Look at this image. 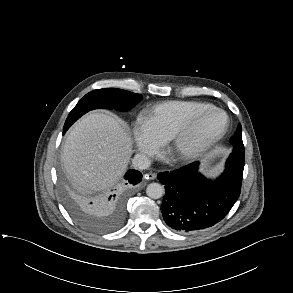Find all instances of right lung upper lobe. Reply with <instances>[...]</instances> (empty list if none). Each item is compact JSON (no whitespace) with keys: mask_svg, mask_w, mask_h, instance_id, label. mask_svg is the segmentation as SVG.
<instances>
[{"mask_svg":"<svg viewBox=\"0 0 293 293\" xmlns=\"http://www.w3.org/2000/svg\"><path fill=\"white\" fill-rule=\"evenodd\" d=\"M92 209V208H91ZM108 213H103V215H107Z\"/></svg>","mask_w":293,"mask_h":293,"instance_id":"cb5924a9","label":"right lung upper lobe"}]
</instances>
